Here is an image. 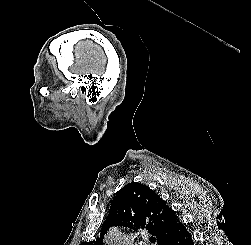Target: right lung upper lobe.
I'll list each match as a JSON object with an SVG mask.
<instances>
[{"instance_id":"cb5924a9","label":"right lung upper lobe","mask_w":251,"mask_h":245,"mask_svg":"<svg viewBox=\"0 0 251 245\" xmlns=\"http://www.w3.org/2000/svg\"><path fill=\"white\" fill-rule=\"evenodd\" d=\"M112 226L146 229L156 236L158 245H163L185 228L175 211L158 194L137 182L125 185L117 192L99 237L80 245H102L104 235Z\"/></svg>"}]
</instances>
